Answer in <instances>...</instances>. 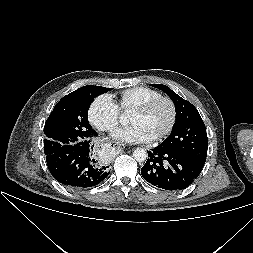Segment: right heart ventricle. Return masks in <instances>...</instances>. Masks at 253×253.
<instances>
[{
    "label": "right heart ventricle",
    "instance_id": "right-heart-ventricle-1",
    "mask_svg": "<svg viewBox=\"0 0 253 253\" xmlns=\"http://www.w3.org/2000/svg\"><path fill=\"white\" fill-rule=\"evenodd\" d=\"M159 96L161 94L155 89L136 86L125 89L120 93L119 105L124 112H132L136 107Z\"/></svg>",
    "mask_w": 253,
    "mask_h": 253
}]
</instances>
